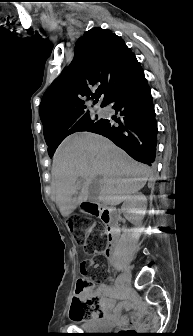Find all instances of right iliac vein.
I'll return each mask as SVG.
<instances>
[{"instance_id":"63e3f726","label":"right iliac vein","mask_w":193,"mask_h":336,"mask_svg":"<svg viewBox=\"0 0 193 336\" xmlns=\"http://www.w3.org/2000/svg\"><path fill=\"white\" fill-rule=\"evenodd\" d=\"M130 281H131V272L129 268H126L122 273L121 285L128 284L130 283Z\"/></svg>"}]
</instances>
